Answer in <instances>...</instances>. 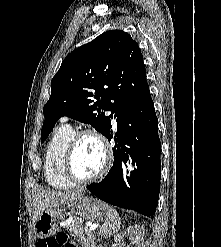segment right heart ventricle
<instances>
[{
  "instance_id": "1",
  "label": "right heart ventricle",
  "mask_w": 221,
  "mask_h": 247,
  "mask_svg": "<svg viewBox=\"0 0 221 247\" xmlns=\"http://www.w3.org/2000/svg\"><path fill=\"white\" fill-rule=\"evenodd\" d=\"M73 129L62 124L53 133L44 155V174L47 183L54 188H69L73 185L64 173L63 162L67 146L73 137Z\"/></svg>"
}]
</instances>
